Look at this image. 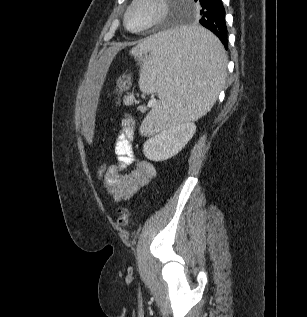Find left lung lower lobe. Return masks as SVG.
<instances>
[{
  "mask_svg": "<svg viewBox=\"0 0 307 317\" xmlns=\"http://www.w3.org/2000/svg\"><path fill=\"white\" fill-rule=\"evenodd\" d=\"M201 7V19L199 23L212 31L222 42L225 49H228L227 27L225 22V9L221 0H195ZM208 57L213 60V53L209 52Z\"/></svg>",
  "mask_w": 307,
  "mask_h": 317,
  "instance_id": "obj_1",
  "label": "left lung lower lobe"
}]
</instances>
